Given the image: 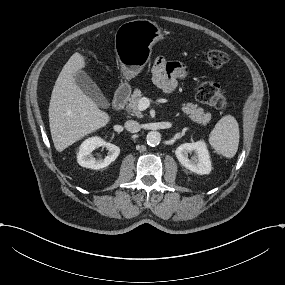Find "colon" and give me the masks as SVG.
<instances>
[{"instance_id": "1", "label": "colon", "mask_w": 285, "mask_h": 285, "mask_svg": "<svg viewBox=\"0 0 285 285\" xmlns=\"http://www.w3.org/2000/svg\"><path fill=\"white\" fill-rule=\"evenodd\" d=\"M206 58L208 63L213 67H221L227 60V54L217 48H208L206 50ZM195 96L198 101L214 107L216 109H225L228 107V98L219 84L213 81L201 82L195 91Z\"/></svg>"}]
</instances>
